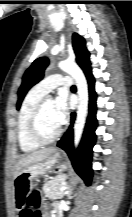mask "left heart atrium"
Instances as JSON below:
<instances>
[{
    "label": "left heart atrium",
    "mask_w": 132,
    "mask_h": 217,
    "mask_svg": "<svg viewBox=\"0 0 132 217\" xmlns=\"http://www.w3.org/2000/svg\"><path fill=\"white\" fill-rule=\"evenodd\" d=\"M53 102L55 119L57 124L60 126L65 122L68 115L67 97L64 93H61Z\"/></svg>",
    "instance_id": "39dd6f15"
}]
</instances>
